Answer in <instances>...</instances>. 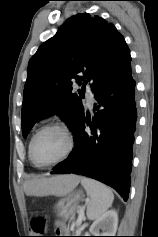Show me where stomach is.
<instances>
[{"instance_id": "stomach-1", "label": "stomach", "mask_w": 158, "mask_h": 237, "mask_svg": "<svg viewBox=\"0 0 158 237\" xmlns=\"http://www.w3.org/2000/svg\"><path fill=\"white\" fill-rule=\"evenodd\" d=\"M75 187L58 195L60 199L54 206L55 212L64 220V222L74 216L75 211L84 198L83 191L75 190Z\"/></svg>"}]
</instances>
